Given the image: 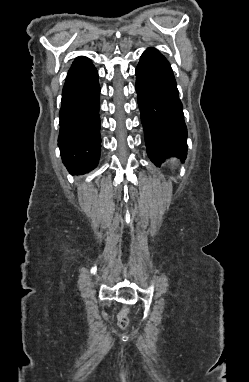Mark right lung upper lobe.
<instances>
[{
	"label": "right lung upper lobe",
	"instance_id": "right-lung-upper-lobe-1",
	"mask_svg": "<svg viewBox=\"0 0 249 382\" xmlns=\"http://www.w3.org/2000/svg\"><path fill=\"white\" fill-rule=\"evenodd\" d=\"M87 58L86 57H78L75 59V61L73 62L70 70L74 69L76 66L80 65L82 62H84ZM69 70V71H70Z\"/></svg>",
	"mask_w": 249,
	"mask_h": 382
}]
</instances>
